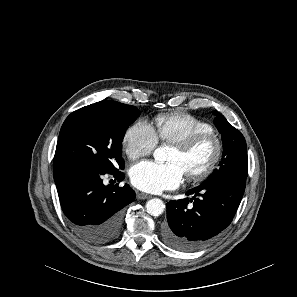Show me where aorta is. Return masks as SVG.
<instances>
[{"instance_id": "1", "label": "aorta", "mask_w": 297, "mask_h": 297, "mask_svg": "<svg viewBox=\"0 0 297 297\" xmlns=\"http://www.w3.org/2000/svg\"><path fill=\"white\" fill-rule=\"evenodd\" d=\"M154 158L158 162L166 160V150L162 147L154 151ZM165 205L161 199L153 198L146 203V210L150 215L159 216L164 212Z\"/></svg>"}]
</instances>
